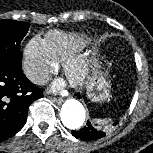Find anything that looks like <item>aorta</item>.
Segmentation results:
<instances>
[{"label":"aorta","mask_w":153,"mask_h":153,"mask_svg":"<svg viewBox=\"0 0 153 153\" xmlns=\"http://www.w3.org/2000/svg\"><path fill=\"white\" fill-rule=\"evenodd\" d=\"M61 121L69 129H79L86 120L84 106L74 98L66 100L60 110Z\"/></svg>","instance_id":"1"}]
</instances>
